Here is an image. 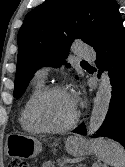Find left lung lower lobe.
<instances>
[{
	"label": "left lung lower lobe",
	"instance_id": "0a47b994",
	"mask_svg": "<svg viewBox=\"0 0 125 167\" xmlns=\"http://www.w3.org/2000/svg\"><path fill=\"white\" fill-rule=\"evenodd\" d=\"M96 66L109 72L112 96L106 118L94 137H108L125 148V31L121 16L113 23L106 37L94 46ZM99 72L98 76H100ZM86 135L82 123L74 131Z\"/></svg>",
	"mask_w": 125,
	"mask_h": 167
}]
</instances>
